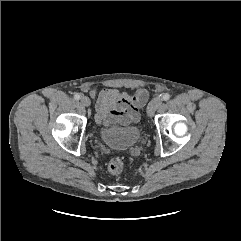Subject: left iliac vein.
<instances>
[{"instance_id":"obj_1","label":"left iliac vein","mask_w":241,"mask_h":241,"mask_svg":"<svg viewBox=\"0 0 241 241\" xmlns=\"http://www.w3.org/2000/svg\"><path fill=\"white\" fill-rule=\"evenodd\" d=\"M162 104V98L160 97H156L153 100H151V102L149 103L148 107H147V114L148 116L152 117L156 111V109H158V107Z\"/></svg>"}]
</instances>
